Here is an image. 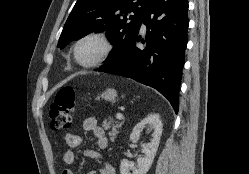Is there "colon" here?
Returning <instances> with one entry per match:
<instances>
[{
	"instance_id": "5ec220e1",
	"label": "colon",
	"mask_w": 249,
	"mask_h": 174,
	"mask_svg": "<svg viewBox=\"0 0 249 174\" xmlns=\"http://www.w3.org/2000/svg\"><path fill=\"white\" fill-rule=\"evenodd\" d=\"M75 103L76 91L73 88L63 87L58 91L49 113L52 130L59 132L70 127Z\"/></svg>"
}]
</instances>
